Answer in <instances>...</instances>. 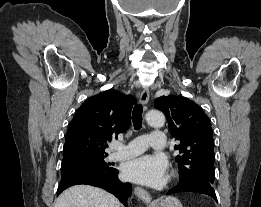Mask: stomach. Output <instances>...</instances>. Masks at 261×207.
<instances>
[{"mask_svg": "<svg viewBox=\"0 0 261 207\" xmlns=\"http://www.w3.org/2000/svg\"><path fill=\"white\" fill-rule=\"evenodd\" d=\"M150 207H183V205L177 198L168 196L166 198L155 201L150 205Z\"/></svg>", "mask_w": 261, "mask_h": 207, "instance_id": "stomach-1", "label": "stomach"}]
</instances>
